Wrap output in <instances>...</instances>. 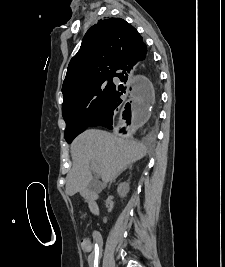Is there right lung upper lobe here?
<instances>
[{
    "label": "right lung upper lobe",
    "mask_w": 225,
    "mask_h": 267,
    "mask_svg": "<svg viewBox=\"0 0 225 267\" xmlns=\"http://www.w3.org/2000/svg\"><path fill=\"white\" fill-rule=\"evenodd\" d=\"M141 42L137 30L121 18L104 19L92 26L69 63L63 96L86 83L114 75L125 54Z\"/></svg>",
    "instance_id": "right-lung-upper-lobe-1"
}]
</instances>
